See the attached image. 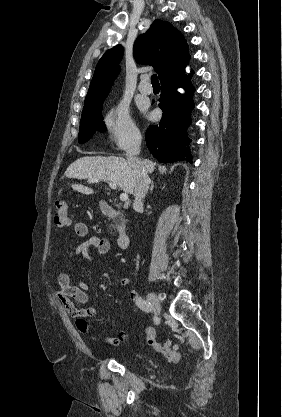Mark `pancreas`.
<instances>
[{
	"mask_svg": "<svg viewBox=\"0 0 282 417\" xmlns=\"http://www.w3.org/2000/svg\"><path fill=\"white\" fill-rule=\"evenodd\" d=\"M119 221H120V225H125V219H124L123 215H121V217H119ZM113 229H116V227H113Z\"/></svg>",
	"mask_w": 282,
	"mask_h": 417,
	"instance_id": "cf45deb5",
	"label": "pancreas"
}]
</instances>
